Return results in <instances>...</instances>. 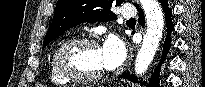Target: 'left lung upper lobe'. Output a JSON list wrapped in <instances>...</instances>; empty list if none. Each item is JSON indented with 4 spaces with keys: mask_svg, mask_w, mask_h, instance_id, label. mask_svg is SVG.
I'll use <instances>...</instances> for the list:
<instances>
[{
    "mask_svg": "<svg viewBox=\"0 0 205 87\" xmlns=\"http://www.w3.org/2000/svg\"><path fill=\"white\" fill-rule=\"evenodd\" d=\"M123 0H58L52 23L46 33L43 48L66 30L84 22H107L115 19L112 4Z\"/></svg>",
    "mask_w": 205,
    "mask_h": 87,
    "instance_id": "1",
    "label": "left lung upper lobe"
}]
</instances>
